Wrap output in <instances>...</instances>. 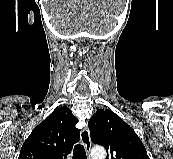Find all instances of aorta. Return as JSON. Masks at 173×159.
<instances>
[{
  "instance_id": "762f6f07",
  "label": "aorta",
  "mask_w": 173,
  "mask_h": 159,
  "mask_svg": "<svg viewBox=\"0 0 173 159\" xmlns=\"http://www.w3.org/2000/svg\"><path fill=\"white\" fill-rule=\"evenodd\" d=\"M106 151L103 147H94L91 150L92 159H105Z\"/></svg>"
}]
</instances>
